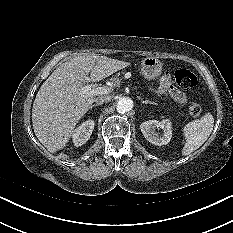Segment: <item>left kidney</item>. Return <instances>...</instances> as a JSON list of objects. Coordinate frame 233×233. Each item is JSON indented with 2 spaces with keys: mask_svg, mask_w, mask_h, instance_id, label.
<instances>
[{
  "mask_svg": "<svg viewBox=\"0 0 233 233\" xmlns=\"http://www.w3.org/2000/svg\"><path fill=\"white\" fill-rule=\"evenodd\" d=\"M144 137L154 145H167L172 137V127L169 119L162 121L149 120L140 125ZM156 129H162V135L156 132Z\"/></svg>",
  "mask_w": 233,
  "mask_h": 233,
  "instance_id": "5707ae66",
  "label": "left kidney"
}]
</instances>
